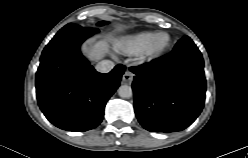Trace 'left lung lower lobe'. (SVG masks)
<instances>
[{
  "label": "left lung lower lobe",
  "instance_id": "1",
  "mask_svg": "<svg viewBox=\"0 0 248 158\" xmlns=\"http://www.w3.org/2000/svg\"><path fill=\"white\" fill-rule=\"evenodd\" d=\"M203 66L200 51L184 36L171 53L130 68L135 74L134 110L146 130L181 131L194 122L205 100Z\"/></svg>",
  "mask_w": 248,
  "mask_h": 158
}]
</instances>
